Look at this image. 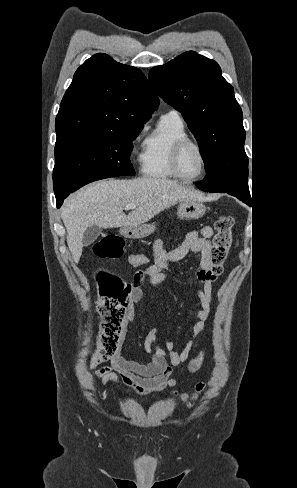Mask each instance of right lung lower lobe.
<instances>
[{"label": "right lung lower lobe", "instance_id": "obj_1", "mask_svg": "<svg viewBox=\"0 0 297 488\" xmlns=\"http://www.w3.org/2000/svg\"><path fill=\"white\" fill-rule=\"evenodd\" d=\"M66 197H67V196L56 198V201H57V208H59V207L62 205V203H63V201H64V199H65Z\"/></svg>", "mask_w": 297, "mask_h": 488}]
</instances>
